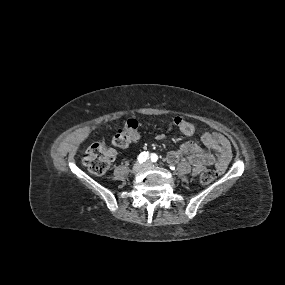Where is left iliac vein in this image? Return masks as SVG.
I'll use <instances>...</instances> for the list:
<instances>
[{
  "label": "left iliac vein",
  "mask_w": 285,
  "mask_h": 285,
  "mask_svg": "<svg viewBox=\"0 0 285 285\" xmlns=\"http://www.w3.org/2000/svg\"><path fill=\"white\" fill-rule=\"evenodd\" d=\"M152 166V163L151 162H146L143 164V167H150Z\"/></svg>",
  "instance_id": "obj_1"
}]
</instances>
